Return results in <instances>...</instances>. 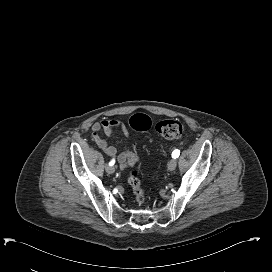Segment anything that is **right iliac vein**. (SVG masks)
Listing matches in <instances>:
<instances>
[{"instance_id": "63e3f726", "label": "right iliac vein", "mask_w": 272, "mask_h": 272, "mask_svg": "<svg viewBox=\"0 0 272 272\" xmlns=\"http://www.w3.org/2000/svg\"><path fill=\"white\" fill-rule=\"evenodd\" d=\"M105 169L109 174H113L115 172V167L113 165H106Z\"/></svg>"}]
</instances>
